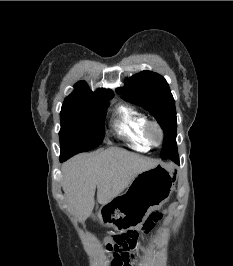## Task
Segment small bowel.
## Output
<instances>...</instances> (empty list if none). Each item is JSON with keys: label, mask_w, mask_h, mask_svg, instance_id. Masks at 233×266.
<instances>
[{"label": "small bowel", "mask_w": 233, "mask_h": 266, "mask_svg": "<svg viewBox=\"0 0 233 266\" xmlns=\"http://www.w3.org/2000/svg\"><path fill=\"white\" fill-rule=\"evenodd\" d=\"M137 239H138V236H137ZM139 246V248L141 249V250H143V248L138 244V242H137V240H136V246ZM121 264H114L113 266H120Z\"/></svg>", "instance_id": "1"}]
</instances>
